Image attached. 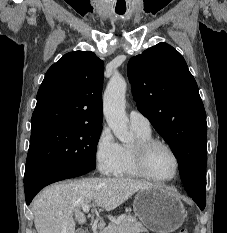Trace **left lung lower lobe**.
<instances>
[{
    "instance_id": "1",
    "label": "left lung lower lobe",
    "mask_w": 227,
    "mask_h": 233,
    "mask_svg": "<svg viewBox=\"0 0 227 233\" xmlns=\"http://www.w3.org/2000/svg\"><path fill=\"white\" fill-rule=\"evenodd\" d=\"M190 197L193 198V200L196 202V204L199 206L201 210L205 208L206 198H200L199 196L196 195H192Z\"/></svg>"
}]
</instances>
